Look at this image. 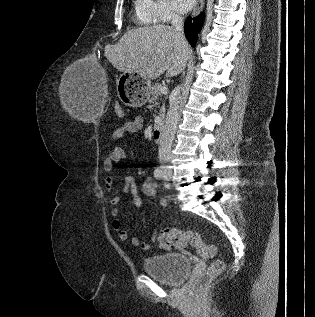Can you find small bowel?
Instances as JSON below:
<instances>
[{
    "instance_id": "1",
    "label": "small bowel",
    "mask_w": 315,
    "mask_h": 317,
    "mask_svg": "<svg viewBox=\"0 0 315 317\" xmlns=\"http://www.w3.org/2000/svg\"><path fill=\"white\" fill-rule=\"evenodd\" d=\"M144 127V121L142 117L137 116L133 120H129L125 122L123 125L118 126L114 129L112 137L114 140H119L123 137H125L128 134H133L141 131ZM126 158L125 150L121 147H115L107 156V158L104 160L103 168L106 172V178H105V188L107 193L110 195V202L114 206L112 210V228L113 230L118 234V237L122 241L129 240L132 245L138 246L143 250H148L151 247V244L157 239V232L154 231L151 234L149 241H142L138 237L130 236L129 232L125 230L122 226L121 221L118 219V216L120 214V205L123 202V196L126 194L132 195V204L138 208L141 209L143 207V200L139 195V188L137 186V183L132 176H126L124 177L123 186L121 189V193L119 194H112V186L114 183V175L113 170L115 165L123 162ZM141 192L149 197L154 198L159 207L162 209H166L168 207V202L165 199L158 198L157 196V190H158V184L157 182L151 178L148 177L144 180V182L141 185L140 188Z\"/></svg>"
}]
</instances>
